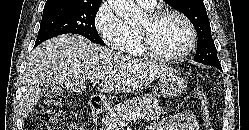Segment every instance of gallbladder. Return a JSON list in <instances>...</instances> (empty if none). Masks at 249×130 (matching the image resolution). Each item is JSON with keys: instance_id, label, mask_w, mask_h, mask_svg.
I'll list each match as a JSON object with an SVG mask.
<instances>
[{"instance_id": "obj_1", "label": "gallbladder", "mask_w": 249, "mask_h": 130, "mask_svg": "<svg viewBox=\"0 0 249 130\" xmlns=\"http://www.w3.org/2000/svg\"><path fill=\"white\" fill-rule=\"evenodd\" d=\"M63 92L64 90L59 86H55L53 84H44L41 87L40 95L43 97L52 98L63 94Z\"/></svg>"}]
</instances>
